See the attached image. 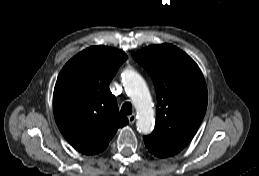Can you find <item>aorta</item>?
I'll return each mask as SVG.
<instances>
[{"mask_svg": "<svg viewBox=\"0 0 259 176\" xmlns=\"http://www.w3.org/2000/svg\"><path fill=\"white\" fill-rule=\"evenodd\" d=\"M124 87L132 99L138 115L137 130L143 134H149L155 124L152 99L146 82L134 70L124 72Z\"/></svg>", "mask_w": 259, "mask_h": 176, "instance_id": "obj_1", "label": "aorta"}]
</instances>
